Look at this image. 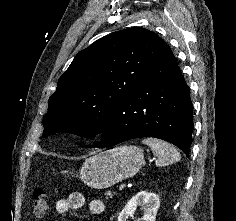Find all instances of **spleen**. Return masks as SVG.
Segmentation results:
<instances>
[{
	"mask_svg": "<svg viewBox=\"0 0 236 221\" xmlns=\"http://www.w3.org/2000/svg\"><path fill=\"white\" fill-rule=\"evenodd\" d=\"M143 144L148 145L152 152L157 156L156 165L166 166L180 160L181 156L178 150L170 143L157 138H145Z\"/></svg>",
	"mask_w": 236,
	"mask_h": 221,
	"instance_id": "3e777b00",
	"label": "spleen"
}]
</instances>
